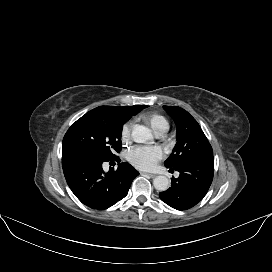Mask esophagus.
I'll list each match as a JSON object with an SVG mask.
<instances>
[{
    "instance_id": "1",
    "label": "esophagus",
    "mask_w": 272,
    "mask_h": 272,
    "mask_svg": "<svg viewBox=\"0 0 272 272\" xmlns=\"http://www.w3.org/2000/svg\"><path fill=\"white\" fill-rule=\"evenodd\" d=\"M145 176H148L150 178H154L156 177V174H153V173H143Z\"/></svg>"
}]
</instances>
